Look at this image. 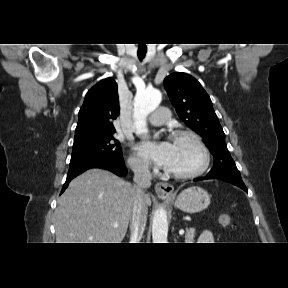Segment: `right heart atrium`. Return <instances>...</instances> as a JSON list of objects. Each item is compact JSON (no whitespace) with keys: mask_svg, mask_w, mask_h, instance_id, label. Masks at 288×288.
I'll list each match as a JSON object with an SVG mask.
<instances>
[{"mask_svg":"<svg viewBox=\"0 0 288 288\" xmlns=\"http://www.w3.org/2000/svg\"><path fill=\"white\" fill-rule=\"evenodd\" d=\"M128 163L130 167L137 173L146 174L149 172V164L138 156H130Z\"/></svg>","mask_w":288,"mask_h":288,"instance_id":"1","label":"right heart atrium"}]
</instances>
